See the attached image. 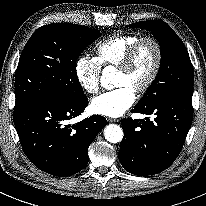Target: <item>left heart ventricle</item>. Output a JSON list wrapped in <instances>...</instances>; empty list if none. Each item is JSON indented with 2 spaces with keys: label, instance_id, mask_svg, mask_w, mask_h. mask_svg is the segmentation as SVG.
Wrapping results in <instances>:
<instances>
[{
  "label": "left heart ventricle",
  "instance_id": "b2bd125f",
  "mask_svg": "<svg viewBox=\"0 0 206 206\" xmlns=\"http://www.w3.org/2000/svg\"><path fill=\"white\" fill-rule=\"evenodd\" d=\"M154 63V46L150 42H144L137 53L131 70L128 73L118 72L116 86H128L135 91L137 87L148 79Z\"/></svg>",
  "mask_w": 206,
  "mask_h": 206
}]
</instances>
